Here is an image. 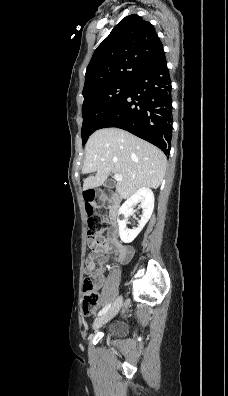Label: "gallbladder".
Here are the masks:
<instances>
[{
    "instance_id": "1",
    "label": "gallbladder",
    "mask_w": 228,
    "mask_h": 396,
    "mask_svg": "<svg viewBox=\"0 0 228 396\" xmlns=\"http://www.w3.org/2000/svg\"><path fill=\"white\" fill-rule=\"evenodd\" d=\"M106 187H107L109 190H111V188H112L111 185H109V184L106 185Z\"/></svg>"
}]
</instances>
